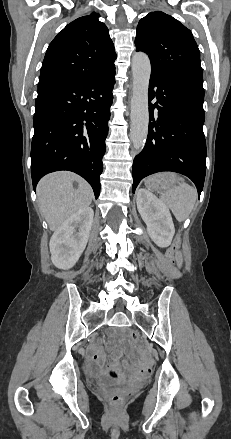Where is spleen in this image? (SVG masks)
I'll return each instance as SVG.
<instances>
[{"instance_id": "spleen-1", "label": "spleen", "mask_w": 231, "mask_h": 439, "mask_svg": "<svg viewBox=\"0 0 231 439\" xmlns=\"http://www.w3.org/2000/svg\"><path fill=\"white\" fill-rule=\"evenodd\" d=\"M160 198L170 208L175 218L179 222H183L194 208L197 191L181 180L178 186L162 192Z\"/></svg>"}]
</instances>
